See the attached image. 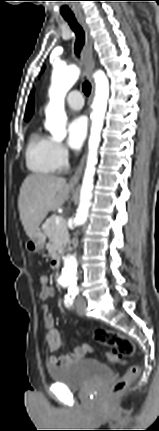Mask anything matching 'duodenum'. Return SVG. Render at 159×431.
I'll return each mask as SVG.
<instances>
[{
  "mask_svg": "<svg viewBox=\"0 0 159 431\" xmlns=\"http://www.w3.org/2000/svg\"><path fill=\"white\" fill-rule=\"evenodd\" d=\"M63 255L60 253L55 254L52 257L51 265L53 268H58L62 263Z\"/></svg>",
  "mask_w": 159,
  "mask_h": 431,
  "instance_id": "1",
  "label": "duodenum"
}]
</instances>
